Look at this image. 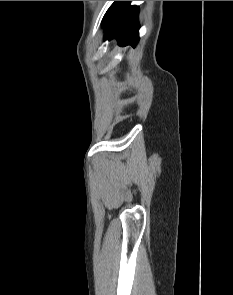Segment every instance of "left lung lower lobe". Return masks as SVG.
<instances>
[{"mask_svg":"<svg viewBox=\"0 0 233 295\" xmlns=\"http://www.w3.org/2000/svg\"><path fill=\"white\" fill-rule=\"evenodd\" d=\"M138 6L128 2L115 1L103 18L105 26L104 39L118 40L120 46H136L139 41Z\"/></svg>","mask_w":233,"mask_h":295,"instance_id":"obj_1","label":"left lung lower lobe"}]
</instances>
